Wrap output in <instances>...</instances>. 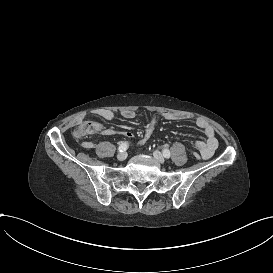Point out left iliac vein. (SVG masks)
<instances>
[{"instance_id": "4c4485c4", "label": "left iliac vein", "mask_w": 273, "mask_h": 273, "mask_svg": "<svg viewBox=\"0 0 273 273\" xmlns=\"http://www.w3.org/2000/svg\"><path fill=\"white\" fill-rule=\"evenodd\" d=\"M153 156L158 162H160V163L165 162V158L163 157V155L158 150H155L153 152Z\"/></svg>"}]
</instances>
